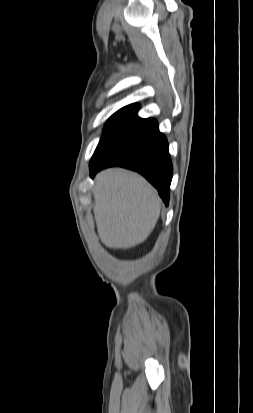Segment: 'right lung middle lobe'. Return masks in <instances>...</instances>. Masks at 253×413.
Listing matches in <instances>:
<instances>
[{"mask_svg": "<svg viewBox=\"0 0 253 413\" xmlns=\"http://www.w3.org/2000/svg\"><path fill=\"white\" fill-rule=\"evenodd\" d=\"M158 128L154 119H142L132 112H116L108 120L89 168Z\"/></svg>", "mask_w": 253, "mask_h": 413, "instance_id": "1", "label": "right lung middle lobe"}]
</instances>
